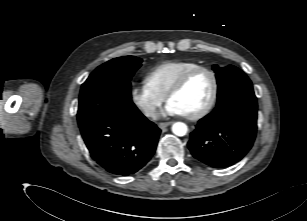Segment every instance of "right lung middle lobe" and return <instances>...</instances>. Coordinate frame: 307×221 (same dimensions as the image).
<instances>
[{"label": "right lung middle lobe", "instance_id": "obj_1", "mask_svg": "<svg viewBox=\"0 0 307 221\" xmlns=\"http://www.w3.org/2000/svg\"><path fill=\"white\" fill-rule=\"evenodd\" d=\"M134 56L114 58L97 67L81 87L77 119L79 127L93 117L135 107L130 80L141 66Z\"/></svg>", "mask_w": 307, "mask_h": 221}]
</instances>
